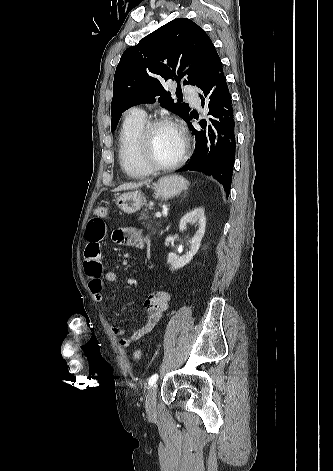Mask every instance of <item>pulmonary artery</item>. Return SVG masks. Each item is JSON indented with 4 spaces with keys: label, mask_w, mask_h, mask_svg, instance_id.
<instances>
[{
    "label": "pulmonary artery",
    "mask_w": 333,
    "mask_h": 471,
    "mask_svg": "<svg viewBox=\"0 0 333 471\" xmlns=\"http://www.w3.org/2000/svg\"><path fill=\"white\" fill-rule=\"evenodd\" d=\"M184 92L185 94L187 95V97L190 99V101L195 104V105H198L199 104V99H198V96L196 94V92L194 91L193 88L189 87V86H186L184 88ZM129 114H133V115H137V116H143L145 117V113L142 109L140 108H137V107H133L129 110Z\"/></svg>",
    "instance_id": "pulmonary-artery-1"
}]
</instances>
